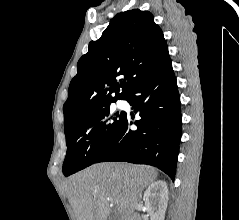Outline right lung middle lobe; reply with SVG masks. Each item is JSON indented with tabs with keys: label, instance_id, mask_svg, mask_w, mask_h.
I'll return each mask as SVG.
<instances>
[{
	"label": "right lung middle lobe",
	"instance_id": "1",
	"mask_svg": "<svg viewBox=\"0 0 239 220\" xmlns=\"http://www.w3.org/2000/svg\"><path fill=\"white\" fill-rule=\"evenodd\" d=\"M125 115L107 105L85 114L65 130L63 174L69 176L95 163L122 126Z\"/></svg>",
	"mask_w": 239,
	"mask_h": 220
}]
</instances>
